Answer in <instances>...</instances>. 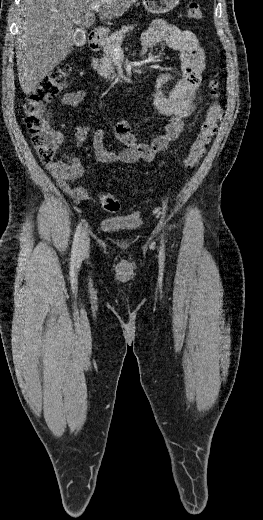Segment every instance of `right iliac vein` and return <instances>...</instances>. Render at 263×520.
Here are the masks:
<instances>
[{
    "instance_id": "1",
    "label": "right iliac vein",
    "mask_w": 263,
    "mask_h": 520,
    "mask_svg": "<svg viewBox=\"0 0 263 520\" xmlns=\"http://www.w3.org/2000/svg\"><path fill=\"white\" fill-rule=\"evenodd\" d=\"M89 246H90V239L87 234V231L84 230L80 237V242L78 246V255L79 256H85L89 252Z\"/></svg>"
}]
</instances>
